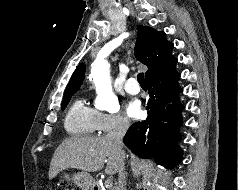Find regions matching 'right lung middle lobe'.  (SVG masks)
Returning a JSON list of instances; mask_svg holds the SVG:
<instances>
[{
	"label": "right lung middle lobe",
	"mask_w": 238,
	"mask_h": 190,
	"mask_svg": "<svg viewBox=\"0 0 238 190\" xmlns=\"http://www.w3.org/2000/svg\"><path fill=\"white\" fill-rule=\"evenodd\" d=\"M73 94L74 93L64 95V100H63V103H62V110H64V108L66 107V105L70 101V98Z\"/></svg>",
	"instance_id": "obj_1"
}]
</instances>
